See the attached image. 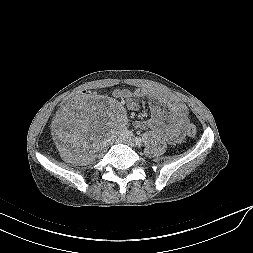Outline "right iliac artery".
Instances as JSON below:
<instances>
[{
	"instance_id": "1",
	"label": "right iliac artery",
	"mask_w": 253,
	"mask_h": 253,
	"mask_svg": "<svg viewBox=\"0 0 253 253\" xmlns=\"http://www.w3.org/2000/svg\"><path fill=\"white\" fill-rule=\"evenodd\" d=\"M125 134H126L127 137H132L133 136V133L131 131H126Z\"/></svg>"
}]
</instances>
